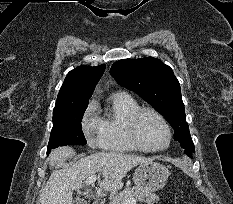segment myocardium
<instances>
[{"instance_id": "f54148a6", "label": "myocardium", "mask_w": 233, "mask_h": 204, "mask_svg": "<svg viewBox=\"0 0 233 204\" xmlns=\"http://www.w3.org/2000/svg\"><path fill=\"white\" fill-rule=\"evenodd\" d=\"M150 113L156 116L164 125L166 131H167V141L165 145L158 147V148H150L147 147L141 140L139 131H138V124L139 120L142 117V115ZM127 132L128 136L132 142V144L140 151L143 152H149V153H154V152H160L165 149H167L171 143L172 140V130L171 127L166 120V118L157 110L150 108V107H140L137 110H135L128 118L127 120Z\"/></svg>"}]
</instances>
